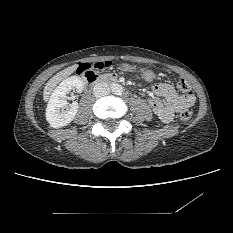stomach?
Wrapping results in <instances>:
<instances>
[{
  "label": "stomach",
  "mask_w": 233,
  "mask_h": 233,
  "mask_svg": "<svg viewBox=\"0 0 233 233\" xmlns=\"http://www.w3.org/2000/svg\"><path fill=\"white\" fill-rule=\"evenodd\" d=\"M120 68L124 71H127V72L135 71L134 67H132L131 65L126 64V63L120 64ZM141 76L146 82H152L156 78V75L150 70L141 71Z\"/></svg>",
  "instance_id": "0dacf381"
}]
</instances>
